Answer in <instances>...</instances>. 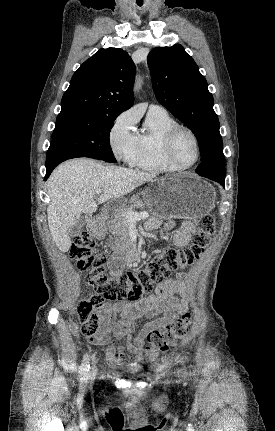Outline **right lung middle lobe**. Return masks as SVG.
<instances>
[{
	"mask_svg": "<svg viewBox=\"0 0 275 431\" xmlns=\"http://www.w3.org/2000/svg\"><path fill=\"white\" fill-rule=\"evenodd\" d=\"M119 114L96 111L59 114L47 159L67 154H87L115 163L109 134Z\"/></svg>",
	"mask_w": 275,
	"mask_h": 431,
	"instance_id": "obj_1",
	"label": "right lung middle lobe"
}]
</instances>
